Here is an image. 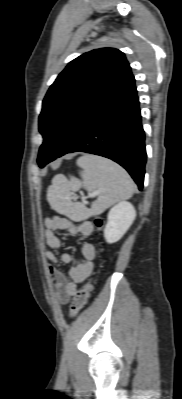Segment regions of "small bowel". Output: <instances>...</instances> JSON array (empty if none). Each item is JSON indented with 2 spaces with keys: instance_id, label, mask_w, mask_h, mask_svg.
<instances>
[{
  "instance_id": "small-bowel-1",
  "label": "small bowel",
  "mask_w": 182,
  "mask_h": 399,
  "mask_svg": "<svg viewBox=\"0 0 182 399\" xmlns=\"http://www.w3.org/2000/svg\"><path fill=\"white\" fill-rule=\"evenodd\" d=\"M45 225L44 236L49 249L45 250L44 257L48 261L50 280L57 300L61 304H66L76 294L77 284L83 282L91 274L97 252L92 243H83L81 245L82 260L66 275L57 266L69 264L72 256L68 252H62L59 256L55 255L53 250H59L63 245L57 234L68 233L88 237L93 233L94 226L89 221L76 223L62 216L46 218Z\"/></svg>"
}]
</instances>
